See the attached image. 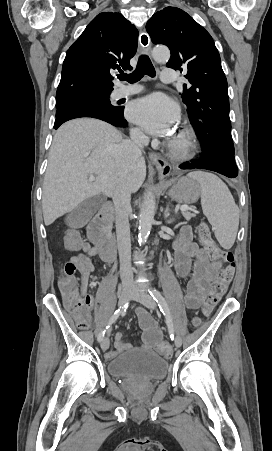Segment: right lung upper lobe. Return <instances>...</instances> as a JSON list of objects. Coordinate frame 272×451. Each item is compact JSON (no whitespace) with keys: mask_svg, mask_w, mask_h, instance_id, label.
<instances>
[{"mask_svg":"<svg viewBox=\"0 0 272 451\" xmlns=\"http://www.w3.org/2000/svg\"><path fill=\"white\" fill-rule=\"evenodd\" d=\"M138 30L120 13L102 12L66 53L56 99L113 90L111 70L131 69Z\"/></svg>","mask_w":272,"mask_h":451,"instance_id":"1","label":"right lung upper lobe"}]
</instances>
